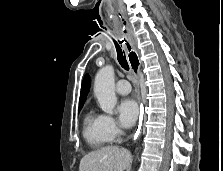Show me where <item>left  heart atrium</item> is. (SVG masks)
<instances>
[{
	"label": "left heart atrium",
	"instance_id": "1",
	"mask_svg": "<svg viewBox=\"0 0 223 171\" xmlns=\"http://www.w3.org/2000/svg\"><path fill=\"white\" fill-rule=\"evenodd\" d=\"M117 110L119 120L125 127L132 126L139 115V107L136 101L131 98L123 99L119 103Z\"/></svg>",
	"mask_w": 223,
	"mask_h": 171
}]
</instances>
